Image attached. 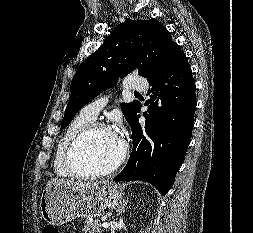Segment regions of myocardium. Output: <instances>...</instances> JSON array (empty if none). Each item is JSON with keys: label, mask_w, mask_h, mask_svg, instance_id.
<instances>
[{"label": "myocardium", "mask_w": 253, "mask_h": 233, "mask_svg": "<svg viewBox=\"0 0 253 233\" xmlns=\"http://www.w3.org/2000/svg\"><path fill=\"white\" fill-rule=\"evenodd\" d=\"M102 129H110L106 124L102 122H92L80 131L69 143L64 157V164L70 174L77 178H95L101 176H107L119 169L127 159L128 145L122 140V149L117 160L105 169L93 170V171H81L75 165V155L80 146L95 132Z\"/></svg>", "instance_id": "1"}]
</instances>
